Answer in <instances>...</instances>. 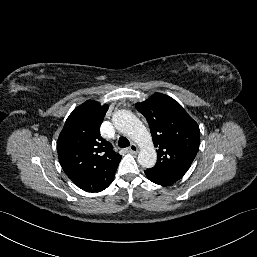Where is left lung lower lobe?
Listing matches in <instances>:
<instances>
[{
	"label": "left lung lower lobe",
	"instance_id": "0a47b994",
	"mask_svg": "<svg viewBox=\"0 0 257 257\" xmlns=\"http://www.w3.org/2000/svg\"><path fill=\"white\" fill-rule=\"evenodd\" d=\"M146 176L148 177V179L158 185H163V186H167V185H171L173 183H175L176 181L167 179L165 177H162L160 175L154 174L150 171H145Z\"/></svg>",
	"mask_w": 257,
	"mask_h": 257
}]
</instances>
